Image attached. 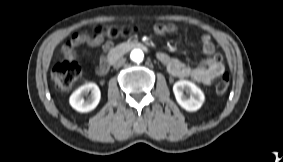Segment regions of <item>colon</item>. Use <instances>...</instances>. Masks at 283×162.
I'll return each mask as SVG.
<instances>
[{
	"instance_id": "1",
	"label": "colon",
	"mask_w": 283,
	"mask_h": 162,
	"mask_svg": "<svg viewBox=\"0 0 283 162\" xmlns=\"http://www.w3.org/2000/svg\"><path fill=\"white\" fill-rule=\"evenodd\" d=\"M95 36H107L109 38H118L128 36L132 32V28L126 26H109L97 25L94 30ZM81 69L77 62L59 61L57 62L51 72L52 79L56 86L62 90L70 89L77 81ZM230 84V78L227 73H223L215 82V92L218 95H223L227 92Z\"/></svg>"
}]
</instances>
